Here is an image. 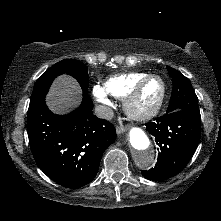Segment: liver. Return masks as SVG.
<instances>
[{"mask_svg": "<svg viewBox=\"0 0 221 221\" xmlns=\"http://www.w3.org/2000/svg\"><path fill=\"white\" fill-rule=\"evenodd\" d=\"M82 91L75 79L68 75L59 76L47 95V105L58 114L68 113L81 102Z\"/></svg>", "mask_w": 221, "mask_h": 221, "instance_id": "1", "label": "liver"}]
</instances>
